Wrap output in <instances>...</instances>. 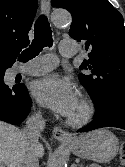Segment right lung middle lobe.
<instances>
[{
    "label": "right lung middle lobe",
    "instance_id": "1",
    "mask_svg": "<svg viewBox=\"0 0 125 167\" xmlns=\"http://www.w3.org/2000/svg\"><path fill=\"white\" fill-rule=\"evenodd\" d=\"M3 78H4V74L2 72H0V84H4Z\"/></svg>",
    "mask_w": 125,
    "mask_h": 167
}]
</instances>
